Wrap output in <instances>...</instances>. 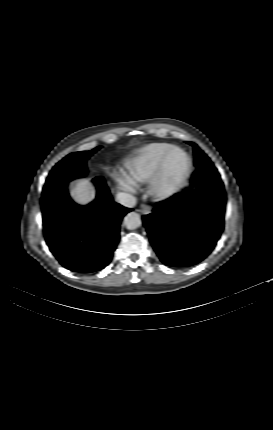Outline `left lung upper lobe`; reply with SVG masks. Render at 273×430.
Instances as JSON below:
<instances>
[{"label": "left lung upper lobe", "instance_id": "5c2ea615", "mask_svg": "<svg viewBox=\"0 0 273 430\" xmlns=\"http://www.w3.org/2000/svg\"><path fill=\"white\" fill-rule=\"evenodd\" d=\"M186 143L192 145L194 148L195 165L197 168H199L201 166H206V165L212 164V162L207 157V155L201 149H199V147L196 144H194L192 142H186Z\"/></svg>", "mask_w": 273, "mask_h": 430}]
</instances>
